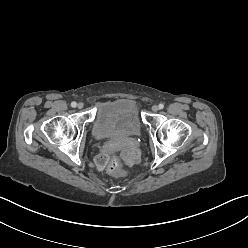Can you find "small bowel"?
I'll use <instances>...</instances> for the list:
<instances>
[{"instance_id": "c3829d8e", "label": "small bowel", "mask_w": 248, "mask_h": 248, "mask_svg": "<svg viewBox=\"0 0 248 248\" xmlns=\"http://www.w3.org/2000/svg\"><path fill=\"white\" fill-rule=\"evenodd\" d=\"M125 156L127 157L129 162L135 161L139 157V149L136 143H131L125 150Z\"/></svg>"}]
</instances>
